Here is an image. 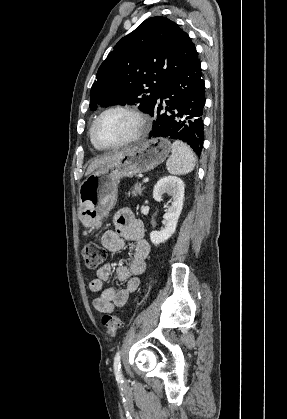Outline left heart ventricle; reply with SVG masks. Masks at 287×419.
I'll use <instances>...</instances> for the list:
<instances>
[{
  "label": "left heart ventricle",
  "instance_id": "obj_1",
  "mask_svg": "<svg viewBox=\"0 0 287 419\" xmlns=\"http://www.w3.org/2000/svg\"><path fill=\"white\" fill-rule=\"evenodd\" d=\"M138 129L137 120L127 112L113 111L97 123L95 135L99 142L116 144L132 137Z\"/></svg>",
  "mask_w": 287,
  "mask_h": 419
}]
</instances>
